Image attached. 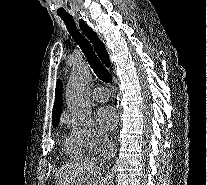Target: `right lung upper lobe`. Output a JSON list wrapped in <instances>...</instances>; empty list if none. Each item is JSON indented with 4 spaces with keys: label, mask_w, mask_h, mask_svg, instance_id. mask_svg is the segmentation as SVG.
I'll list each match as a JSON object with an SVG mask.
<instances>
[{
    "label": "right lung upper lobe",
    "mask_w": 207,
    "mask_h": 185,
    "mask_svg": "<svg viewBox=\"0 0 207 185\" xmlns=\"http://www.w3.org/2000/svg\"><path fill=\"white\" fill-rule=\"evenodd\" d=\"M62 81L58 80L55 90V103L53 108V126L56 127L59 124L61 111H62Z\"/></svg>",
    "instance_id": "cb5924a9"
}]
</instances>
